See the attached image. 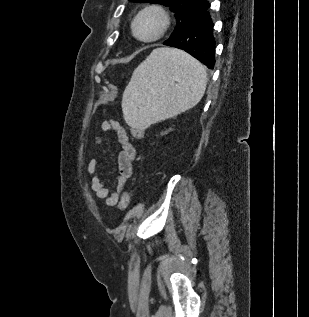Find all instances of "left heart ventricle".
I'll return each instance as SVG.
<instances>
[{
  "label": "left heart ventricle",
  "mask_w": 309,
  "mask_h": 317,
  "mask_svg": "<svg viewBox=\"0 0 309 317\" xmlns=\"http://www.w3.org/2000/svg\"><path fill=\"white\" fill-rule=\"evenodd\" d=\"M158 27V20L152 15H147L139 22V32L142 36H151Z\"/></svg>",
  "instance_id": "left-heart-ventricle-1"
}]
</instances>
